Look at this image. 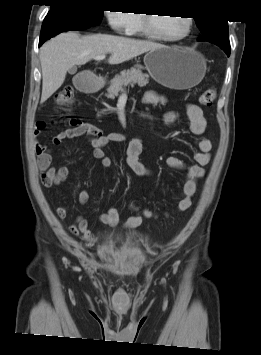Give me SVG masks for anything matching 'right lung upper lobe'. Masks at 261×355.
<instances>
[{"label":"right lung upper lobe","instance_id":"cb5924a9","mask_svg":"<svg viewBox=\"0 0 261 355\" xmlns=\"http://www.w3.org/2000/svg\"><path fill=\"white\" fill-rule=\"evenodd\" d=\"M51 1L52 4L56 3V2H60V1H63V0H49Z\"/></svg>","mask_w":261,"mask_h":355}]
</instances>
